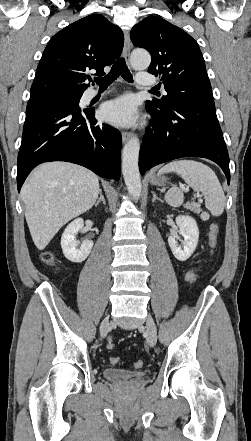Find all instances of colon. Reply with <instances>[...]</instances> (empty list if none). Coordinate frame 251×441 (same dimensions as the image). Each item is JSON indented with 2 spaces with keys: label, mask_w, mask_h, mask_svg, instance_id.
<instances>
[{
  "label": "colon",
  "mask_w": 251,
  "mask_h": 441,
  "mask_svg": "<svg viewBox=\"0 0 251 441\" xmlns=\"http://www.w3.org/2000/svg\"><path fill=\"white\" fill-rule=\"evenodd\" d=\"M218 235H219V227L216 224H214V223L211 224L210 228H209V234H208L209 246H210L211 249H214L216 247L217 242H218ZM42 261L44 263H46V264H49V265L53 264V261H54L53 254L51 252H45L42 255ZM194 279H195V273L194 272L189 273L188 276H187V281L188 282H193ZM114 348H115L114 342L113 341H109L107 343V349L108 350H113ZM110 361H111V364H113V365H118L121 362L119 357H112L110 359ZM143 365H144V363H143L142 360H138V361H136L134 363V367L137 368V369L142 368Z\"/></svg>",
  "instance_id": "1"
}]
</instances>
